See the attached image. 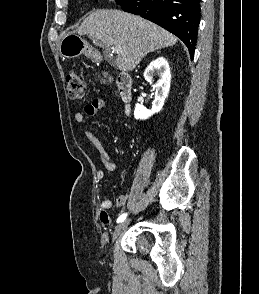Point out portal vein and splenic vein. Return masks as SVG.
<instances>
[{
    "instance_id": "portal-vein-and-splenic-vein-1",
    "label": "portal vein and splenic vein",
    "mask_w": 259,
    "mask_h": 294,
    "mask_svg": "<svg viewBox=\"0 0 259 294\" xmlns=\"http://www.w3.org/2000/svg\"><path fill=\"white\" fill-rule=\"evenodd\" d=\"M112 51L118 54L120 53V47H112Z\"/></svg>"
}]
</instances>
